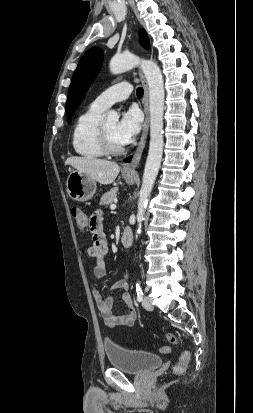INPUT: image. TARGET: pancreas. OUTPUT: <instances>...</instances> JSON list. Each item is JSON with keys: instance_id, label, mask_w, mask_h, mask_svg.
I'll use <instances>...</instances> for the list:
<instances>
[{"instance_id": "pancreas-1", "label": "pancreas", "mask_w": 253, "mask_h": 413, "mask_svg": "<svg viewBox=\"0 0 253 413\" xmlns=\"http://www.w3.org/2000/svg\"><path fill=\"white\" fill-rule=\"evenodd\" d=\"M118 192V188H112L111 190H109L108 192H106L102 197H101V201H100V205H109L112 204L115 199H116V195Z\"/></svg>"}]
</instances>
